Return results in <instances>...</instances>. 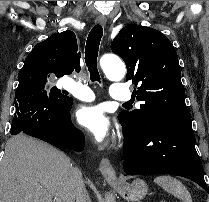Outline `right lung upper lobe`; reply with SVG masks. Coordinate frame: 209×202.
<instances>
[{
	"mask_svg": "<svg viewBox=\"0 0 209 202\" xmlns=\"http://www.w3.org/2000/svg\"><path fill=\"white\" fill-rule=\"evenodd\" d=\"M77 40L75 34L66 30L53 34L38 43L25 58L24 66L19 75L55 74L62 77L74 70L80 71V53L77 54Z\"/></svg>",
	"mask_w": 209,
	"mask_h": 202,
	"instance_id": "obj_1",
	"label": "right lung upper lobe"
}]
</instances>
